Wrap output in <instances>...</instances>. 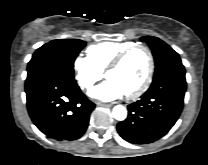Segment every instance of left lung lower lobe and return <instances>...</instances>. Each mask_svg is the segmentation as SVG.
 Segmentation results:
<instances>
[{
	"label": "left lung lower lobe",
	"mask_w": 208,
	"mask_h": 165,
	"mask_svg": "<svg viewBox=\"0 0 208 165\" xmlns=\"http://www.w3.org/2000/svg\"><path fill=\"white\" fill-rule=\"evenodd\" d=\"M184 67L172 68L153 78L141 99L128 105V117L117 125L119 135L134 144L163 137L178 120L186 91Z\"/></svg>",
	"instance_id": "left-lung-lower-lobe-1"
}]
</instances>
